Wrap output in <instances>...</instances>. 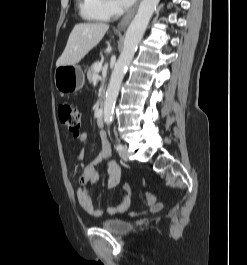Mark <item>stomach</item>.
I'll return each mask as SVG.
<instances>
[{
	"mask_svg": "<svg viewBox=\"0 0 247 265\" xmlns=\"http://www.w3.org/2000/svg\"><path fill=\"white\" fill-rule=\"evenodd\" d=\"M54 82L62 94L76 92L84 86L85 75L77 65H63L56 68Z\"/></svg>",
	"mask_w": 247,
	"mask_h": 265,
	"instance_id": "obj_1",
	"label": "stomach"
}]
</instances>
